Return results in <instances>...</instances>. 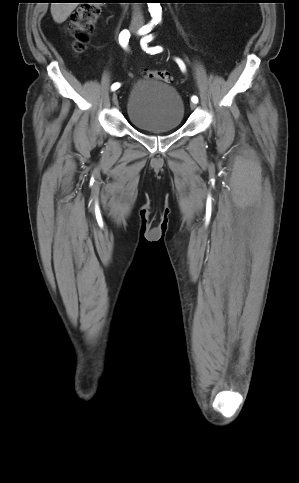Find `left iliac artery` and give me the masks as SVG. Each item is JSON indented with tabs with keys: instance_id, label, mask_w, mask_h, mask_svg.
<instances>
[{
	"instance_id": "left-iliac-artery-1",
	"label": "left iliac artery",
	"mask_w": 299,
	"mask_h": 483,
	"mask_svg": "<svg viewBox=\"0 0 299 483\" xmlns=\"http://www.w3.org/2000/svg\"><path fill=\"white\" fill-rule=\"evenodd\" d=\"M153 39V36L152 35H148V36H145L144 38H142L141 40V46L142 48L147 52V53H150V54H157V53H160L162 51V47L161 46H156V47H151V48H148L147 47V43L150 42L151 40ZM179 67L181 68L182 71L185 70V65L183 63L182 60L180 59H176ZM192 102L193 103H197L198 102V97L197 96H192L191 98Z\"/></svg>"
}]
</instances>
